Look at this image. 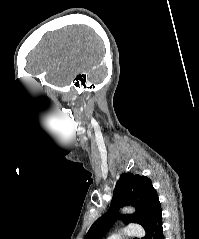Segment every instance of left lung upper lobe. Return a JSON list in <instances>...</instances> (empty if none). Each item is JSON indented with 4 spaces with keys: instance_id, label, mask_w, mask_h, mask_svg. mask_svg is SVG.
<instances>
[{
    "instance_id": "1",
    "label": "left lung upper lobe",
    "mask_w": 199,
    "mask_h": 239,
    "mask_svg": "<svg viewBox=\"0 0 199 239\" xmlns=\"http://www.w3.org/2000/svg\"><path fill=\"white\" fill-rule=\"evenodd\" d=\"M124 205H133L137 210L131 215L119 217L117 212ZM160 208L157 192L149 178L124 173L116 183L108 212L90 227L85 239H102L116 218H121L125 224L137 223L145 228Z\"/></svg>"
}]
</instances>
